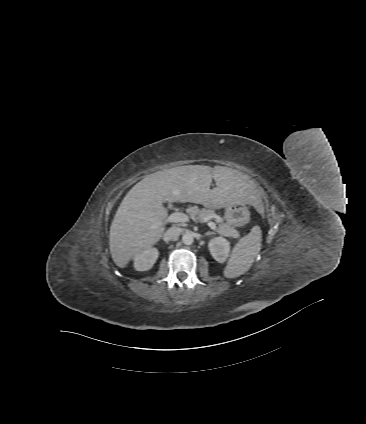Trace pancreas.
Segmentation results:
<instances>
[{
    "instance_id": "pancreas-1",
    "label": "pancreas",
    "mask_w": 366,
    "mask_h": 424,
    "mask_svg": "<svg viewBox=\"0 0 366 424\" xmlns=\"http://www.w3.org/2000/svg\"><path fill=\"white\" fill-rule=\"evenodd\" d=\"M190 216L195 220H205V219H215L219 224L217 231L226 237L238 238L239 232L231 225L224 223L223 219L220 218L213 210L211 209H198L197 207H192L190 209Z\"/></svg>"
}]
</instances>
